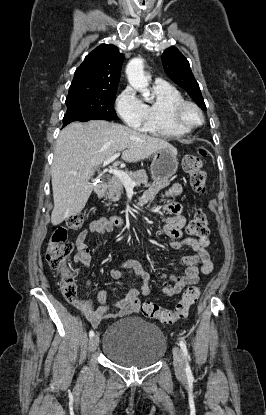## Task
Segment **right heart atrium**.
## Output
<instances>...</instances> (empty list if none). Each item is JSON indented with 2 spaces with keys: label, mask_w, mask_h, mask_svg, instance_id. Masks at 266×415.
Masks as SVG:
<instances>
[{
  "label": "right heart atrium",
  "mask_w": 266,
  "mask_h": 415,
  "mask_svg": "<svg viewBox=\"0 0 266 415\" xmlns=\"http://www.w3.org/2000/svg\"><path fill=\"white\" fill-rule=\"evenodd\" d=\"M115 106L118 114L128 126L134 129L143 126L146 117L145 104L132 88L127 87L119 94Z\"/></svg>",
  "instance_id": "d8ad5b80"
}]
</instances>
